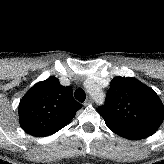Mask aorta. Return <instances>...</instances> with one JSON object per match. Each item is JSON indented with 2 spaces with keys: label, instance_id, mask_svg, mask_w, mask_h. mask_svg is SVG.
Masks as SVG:
<instances>
[{
  "label": "aorta",
  "instance_id": "aorta-1",
  "mask_svg": "<svg viewBox=\"0 0 164 164\" xmlns=\"http://www.w3.org/2000/svg\"><path fill=\"white\" fill-rule=\"evenodd\" d=\"M89 92L97 103L103 104L104 94L98 87L95 86L89 87Z\"/></svg>",
  "mask_w": 164,
  "mask_h": 164
}]
</instances>
